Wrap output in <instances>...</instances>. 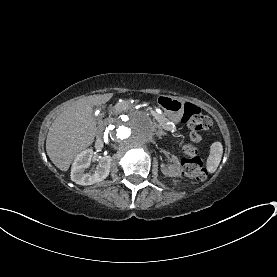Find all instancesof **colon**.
<instances>
[{
  "label": "colon",
  "mask_w": 277,
  "mask_h": 277,
  "mask_svg": "<svg viewBox=\"0 0 277 277\" xmlns=\"http://www.w3.org/2000/svg\"><path fill=\"white\" fill-rule=\"evenodd\" d=\"M181 122L185 127L192 130L190 142L184 144L181 148L184 154L182 170L189 178L201 181L206 177V165L193 143L199 138L198 132L211 128V119L199 107L188 103L184 107Z\"/></svg>",
  "instance_id": "1"
}]
</instances>
